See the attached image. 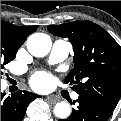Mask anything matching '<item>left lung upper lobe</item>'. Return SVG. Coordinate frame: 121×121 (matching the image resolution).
<instances>
[{
    "mask_svg": "<svg viewBox=\"0 0 121 121\" xmlns=\"http://www.w3.org/2000/svg\"><path fill=\"white\" fill-rule=\"evenodd\" d=\"M50 33L67 37L73 45L75 68L65 78L79 95L115 109L121 96V47L91 21L48 26Z\"/></svg>",
    "mask_w": 121,
    "mask_h": 121,
    "instance_id": "obj_1",
    "label": "left lung upper lobe"
}]
</instances>
